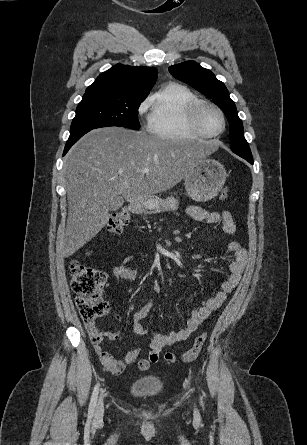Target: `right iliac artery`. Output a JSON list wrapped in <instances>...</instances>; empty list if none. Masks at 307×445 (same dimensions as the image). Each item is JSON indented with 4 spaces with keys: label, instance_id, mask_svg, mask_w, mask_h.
Masks as SVG:
<instances>
[{
    "label": "right iliac artery",
    "instance_id": "82829eb1",
    "mask_svg": "<svg viewBox=\"0 0 307 445\" xmlns=\"http://www.w3.org/2000/svg\"><path fill=\"white\" fill-rule=\"evenodd\" d=\"M98 392H99V383L95 385L92 396H91V401H90L89 410H88L89 418H92V416L94 414V410H95V406H96V402H97V398H98Z\"/></svg>",
    "mask_w": 307,
    "mask_h": 445
}]
</instances>
